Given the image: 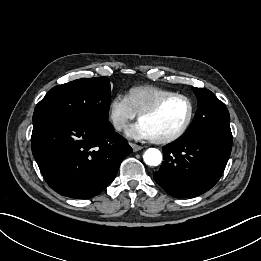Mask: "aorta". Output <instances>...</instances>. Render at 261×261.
<instances>
[{"mask_svg": "<svg viewBox=\"0 0 261 261\" xmlns=\"http://www.w3.org/2000/svg\"><path fill=\"white\" fill-rule=\"evenodd\" d=\"M144 162L150 166H158L162 161V154L156 148H149L143 155Z\"/></svg>", "mask_w": 261, "mask_h": 261, "instance_id": "1", "label": "aorta"}]
</instances>
